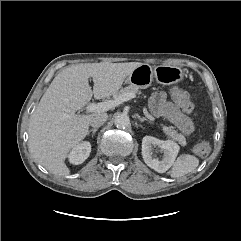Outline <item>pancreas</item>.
Masks as SVG:
<instances>
[{"label": "pancreas", "mask_w": 241, "mask_h": 241, "mask_svg": "<svg viewBox=\"0 0 241 241\" xmlns=\"http://www.w3.org/2000/svg\"><path fill=\"white\" fill-rule=\"evenodd\" d=\"M127 93H141L139 90V87L136 85H129L125 87L124 89H121L120 92L118 93L119 95L121 94H127ZM163 132L170 138H172L174 141H177L181 146L186 145V139L185 137L178 133L176 130L172 129L171 127L163 126Z\"/></svg>", "instance_id": "1"}]
</instances>
